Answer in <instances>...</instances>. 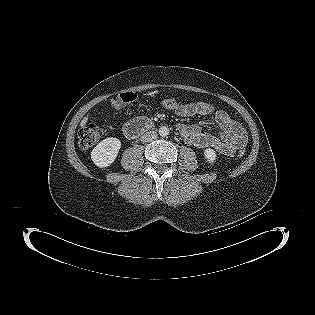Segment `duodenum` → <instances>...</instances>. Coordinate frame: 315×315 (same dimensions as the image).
I'll list each match as a JSON object with an SVG mask.
<instances>
[{"instance_id":"obj_1","label":"duodenum","mask_w":315,"mask_h":315,"mask_svg":"<svg viewBox=\"0 0 315 315\" xmlns=\"http://www.w3.org/2000/svg\"><path fill=\"white\" fill-rule=\"evenodd\" d=\"M152 127V123L147 118H138L128 122L124 128V135L129 139H135L141 133L149 130Z\"/></svg>"}]
</instances>
